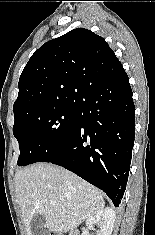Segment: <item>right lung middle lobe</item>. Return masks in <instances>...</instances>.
I'll return each instance as SVG.
<instances>
[{
    "label": "right lung middle lobe",
    "mask_w": 155,
    "mask_h": 235,
    "mask_svg": "<svg viewBox=\"0 0 155 235\" xmlns=\"http://www.w3.org/2000/svg\"><path fill=\"white\" fill-rule=\"evenodd\" d=\"M77 105H57L29 110L15 118L19 166L40 162L63 145L78 126Z\"/></svg>",
    "instance_id": "right-lung-middle-lobe-1"
}]
</instances>
